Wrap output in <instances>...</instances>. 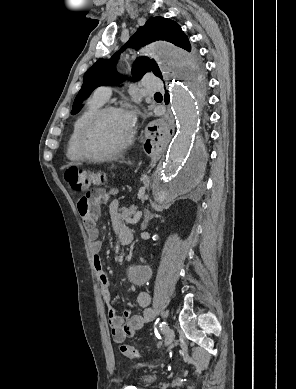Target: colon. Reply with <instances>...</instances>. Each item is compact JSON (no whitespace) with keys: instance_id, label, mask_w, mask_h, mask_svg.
<instances>
[{"instance_id":"5ec220e1","label":"colon","mask_w":296,"mask_h":389,"mask_svg":"<svg viewBox=\"0 0 296 389\" xmlns=\"http://www.w3.org/2000/svg\"><path fill=\"white\" fill-rule=\"evenodd\" d=\"M64 176L69 187L75 191H83L92 184H102L106 180V176L103 173L91 172L79 167L68 168ZM120 350L129 359L140 357L138 350L131 345H122Z\"/></svg>"}]
</instances>
